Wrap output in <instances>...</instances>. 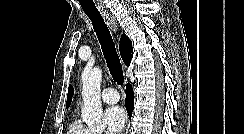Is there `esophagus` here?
Listing matches in <instances>:
<instances>
[{
  "mask_svg": "<svg viewBox=\"0 0 244 134\" xmlns=\"http://www.w3.org/2000/svg\"><path fill=\"white\" fill-rule=\"evenodd\" d=\"M102 16H103L104 20L106 21L107 25L110 27V29L114 33H117V31H118V24H117V21H116L115 17H113L108 12H103L102 13ZM126 134H127V131H126Z\"/></svg>",
  "mask_w": 244,
  "mask_h": 134,
  "instance_id": "34e87169",
  "label": "esophagus"
}]
</instances>
